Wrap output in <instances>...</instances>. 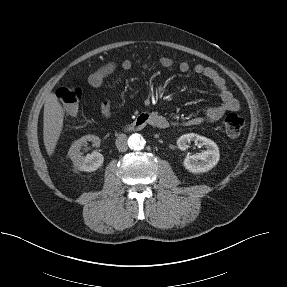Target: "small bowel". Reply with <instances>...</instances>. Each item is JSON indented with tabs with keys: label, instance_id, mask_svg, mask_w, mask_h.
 Here are the masks:
<instances>
[{
	"label": "small bowel",
	"instance_id": "c3829d8e",
	"mask_svg": "<svg viewBox=\"0 0 287 287\" xmlns=\"http://www.w3.org/2000/svg\"><path fill=\"white\" fill-rule=\"evenodd\" d=\"M159 63L164 68H171L174 65V60L168 56H161L159 58ZM131 68L132 62L128 59H123L121 61H109L93 71L88 77V82L94 88H101L104 85L105 80L117 70L120 69L123 71H129ZM178 69L181 73H187L190 70H193L194 73L210 80L219 92L220 103L217 105L208 106L205 108L202 115L192 116L184 120H175L158 112H151L150 114L156 119V127L164 129L175 125L194 126L203 122H216L226 112L239 110V101L233 96L226 84L225 79L216 69L203 64H195L192 67L186 61L180 62L178 64ZM100 111L104 118L111 117V103L108 99H104L102 101Z\"/></svg>",
	"mask_w": 287,
	"mask_h": 287
}]
</instances>
